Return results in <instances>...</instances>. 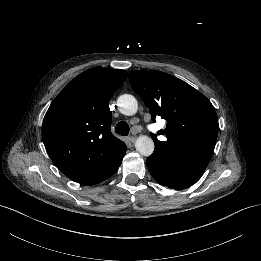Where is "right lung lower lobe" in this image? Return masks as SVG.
Segmentation results:
<instances>
[{
    "mask_svg": "<svg viewBox=\"0 0 261 261\" xmlns=\"http://www.w3.org/2000/svg\"><path fill=\"white\" fill-rule=\"evenodd\" d=\"M123 157H121L118 161H116L108 170L94 176L91 179L84 181L81 184H83V185H93V184L100 183V182L104 181L105 179L109 178L111 175H113L117 171V169L119 168V166L122 162Z\"/></svg>",
    "mask_w": 261,
    "mask_h": 261,
    "instance_id": "right-lung-lower-lobe-1",
    "label": "right lung lower lobe"
}]
</instances>
